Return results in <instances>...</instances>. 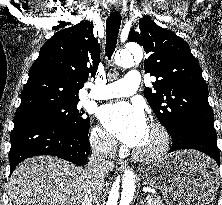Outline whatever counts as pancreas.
Here are the masks:
<instances>
[{
    "label": "pancreas",
    "mask_w": 222,
    "mask_h": 205,
    "mask_svg": "<svg viewBox=\"0 0 222 205\" xmlns=\"http://www.w3.org/2000/svg\"><path fill=\"white\" fill-rule=\"evenodd\" d=\"M147 205H165L163 200L158 196L150 195L147 197Z\"/></svg>",
    "instance_id": "obj_1"
}]
</instances>
